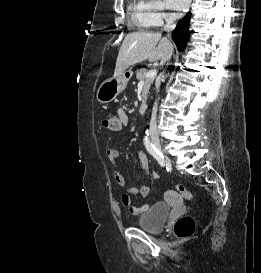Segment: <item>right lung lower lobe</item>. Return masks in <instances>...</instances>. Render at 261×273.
Listing matches in <instances>:
<instances>
[{
  "mask_svg": "<svg viewBox=\"0 0 261 273\" xmlns=\"http://www.w3.org/2000/svg\"><path fill=\"white\" fill-rule=\"evenodd\" d=\"M191 13L188 12L183 19H181L174 31L172 32V39L175 42L179 51H183L187 40L189 38V21H190Z\"/></svg>",
  "mask_w": 261,
  "mask_h": 273,
  "instance_id": "1",
  "label": "right lung lower lobe"
}]
</instances>
